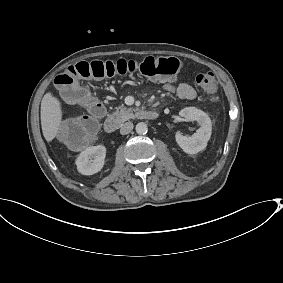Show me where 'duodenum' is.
Instances as JSON below:
<instances>
[{
	"mask_svg": "<svg viewBox=\"0 0 283 283\" xmlns=\"http://www.w3.org/2000/svg\"><path fill=\"white\" fill-rule=\"evenodd\" d=\"M158 113L156 111H145L143 112L140 117L144 120H156L158 118ZM118 121L116 118L109 117L105 121V130L109 134H113L118 130Z\"/></svg>",
	"mask_w": 283,
	"mask_h": 283,
	"instance_id": "obj_1",
	"label": "duodenum"
}]
</instances>
